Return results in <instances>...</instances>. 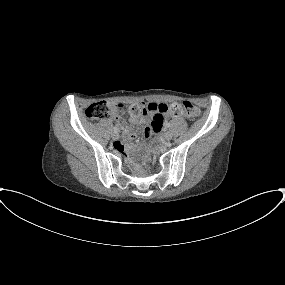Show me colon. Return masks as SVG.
<instances>
[{
  "mask_svg": "<svg viewBox=\"0 0 285 285\" xmlns=\"http://www.w3.org/2000/svg\"><path fill=\"white\" fill-rule=\"evenodd\" d=\"M86 116L92 120L114 119L120 123L125 122L130 117L147 114L146 106L134 104L129 107L122 104L109 102H96L89 105L85 110ZM198 114L197 108L189 101L182 103H172L163 109V118L186 115L195 117ZM145 168H137L138 173H143Z\"/></svg>",
  "mask_w": 285,
  "mask_h": 285,
  "instance_id": "5ec220e1",
  "label": "colon"
}]
</instances>
